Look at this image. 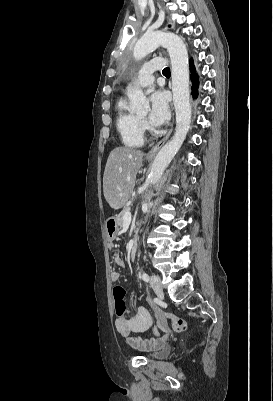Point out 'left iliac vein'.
Wrapping results in <instances>:
<instances>
[{
    "instance_id": "obj_1",
    "label": "left iliac vein",
    "mask_w": 273,
    "mask_h": 401,
    "mask_svg": "<svg viewBox=\"0 0 273 401\" xmlns=\"http://www.w3.org/2000/svg\"><path fill=\"white\" fill-rule=\"evenodd\" d=\"M150 285L155 291V293L162 298L163 293H162V285H161V280L157 275H152L150 278Z\"/></svg>"
}]
</instances>
